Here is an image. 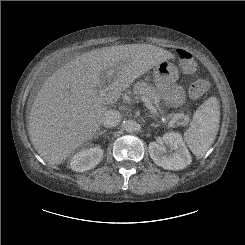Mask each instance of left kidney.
<instances>
[{
  "mask_svg": "<svg viewBox=\"0 0 245 245\" xmlns=\"http://www.w3.org/2000/svg\"><path fill=\"white\" fill-rule=\"evenodd\" d=\"M166 146L170 154H164ZM149 154L157 166L167 170H181L191 164V155L179 133H165L159 142H150Z\"/></svg>",
  "mask_w": 245,
  "mask_h": 245,
  "instance_id": "left-kidney-1",
  "label": "left kidney"
}]
</instances>
